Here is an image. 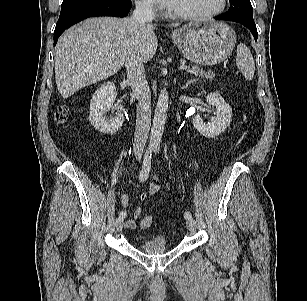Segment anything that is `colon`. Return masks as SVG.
Instances as JSON below:
<instances>
[{"label":"colon","mask_w":307,"mask_h":301,"mask_svg":"<svg viewBox=\"0 0 307 301\" xmlns=\"http://www.w3.org/2000/svg\"><path fill=\"white\" fill-rule=\"evenodd\" d=\"M56 120L59 123H63L66 120V109L64 107H60L57 114ZM153 223V217L148 215L142 218L140 225L142 228H149Z\"/></svg>","instance_id":"colon-1"}]
</instances>
